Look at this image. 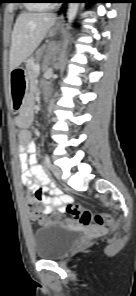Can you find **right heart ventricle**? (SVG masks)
Wrapping results in <instances>:
<instances>
[{"mask_svg": "<svg viewBox=\"0 0 136 296\" xmlns=\"http://www.w3.org/2000/svg\"><path fill=\"white\" fill-rule=\"evenodd\" d=\"M29 2L26 6L31 10H40L47 7V4L43 3V0H30Z\"/></svg>", "mask_w": 136, "mask_h": 296, "instance_id": "obj_1", "label": "right heart ventricle"}]
</instances>
